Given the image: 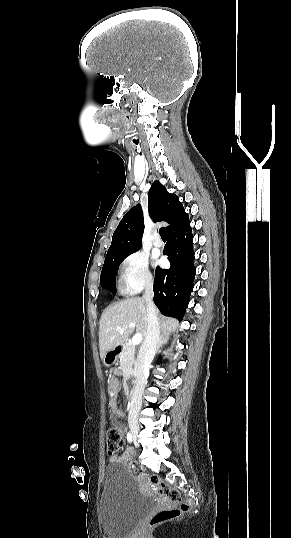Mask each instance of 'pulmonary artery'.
<instances>
[{
	"label": "pulmonary artery",
	"mask_w": 291,
	"mask_h": 538,
	"mask_svg": "<svg viewBox=\"0 0 291 538\" xmlns=\"http://www.w3.org/2000/svg\"><path fill=\"white\" fill-rule=\"evenodd\" d=\"M153 245H154L155 247H161V246L163 245V242H162V240H161L160 238L157 237V238H155V239L153 240Z\"/></svg>",
	"instance_id": "pulmonary-artery-1"
}]
</instances>
